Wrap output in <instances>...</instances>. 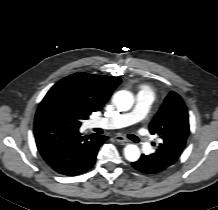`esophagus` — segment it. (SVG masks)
<instances>
[{"instance_id":"1","label":"esophagus","mask_w":218,"mask_h":210,"mask_svg":"<svg viewBox=\"0 0 218 210\" xmlns=\"http://www.w3.org/2000/svg\"><path fill=\"white\" fill-rule=\"evenodd\" d=\"M114 138H115V140H116L117 142H120V143H126V142H128V140H127L125 137L121 136V135H116Z\"/></svg>"}]
</instances>
